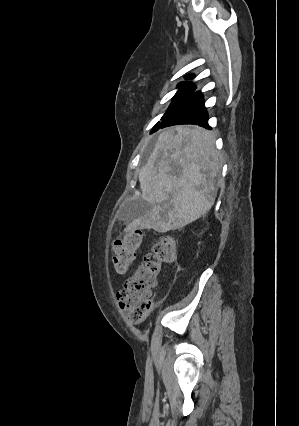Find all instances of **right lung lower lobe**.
Listing matches in <instances>:
<instances>
[{"mask_svg": "<svg viewBox=\"0 0 299 426\" xmlns=\"http://www.w3.org/2000/svg\"><path fill=\"white\" fill-rule=\"evenodd\" d=\"M178 124H196L210 128L208 125V114L200 91L192 92L178 102L162 117V121L156 124L153 131Z\"/></svg>", "mask_w": 299, "mask_h": 426, "instance_id": "1", "label": "right lung lower lobe"}]
</instances>
